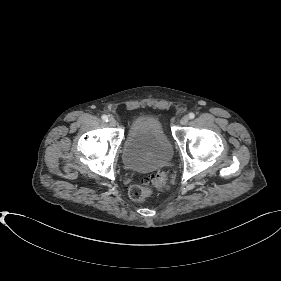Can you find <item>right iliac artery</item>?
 Listing matches in <instances>:
<instances>
[{
  "mask_svg": "<svg viewBox=\"0 0 281 281\" xmlns=\"http://www.w3.org/2000/svg\"><path fill=\"white\" fill-rule=\"evenodd\" d=\"M102 120L105 121V122H108V116L107 115H103L102 116Z\"/></svg>",
  "mask_w": 281,
  "mask_h": 281,
  "instance_id": "1",
  "label": "right iliac artery"
}]
</instances>
